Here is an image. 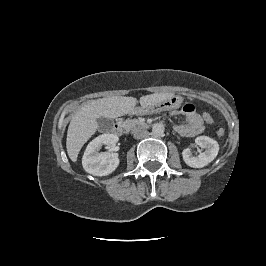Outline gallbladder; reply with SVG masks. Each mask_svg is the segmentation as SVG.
Wrapping results in <instances>:
<instances>
[{
	"instance_id": "gallbladder-1",
	"label": "gallbladder",
	"mask_w": 266,
	"mask_h": 266,
	"mask_svg": "<svg viewBox=\"0 0 266 266\" xmlns=\"http://www.w3.org/2000/svg\"><path fill=\"white\" fill-rule=\"evenodd\" d=\"M100 130H110L113 126V121L108 118L100 117L97 119Z\"/></svg>"
}]
</instances>
